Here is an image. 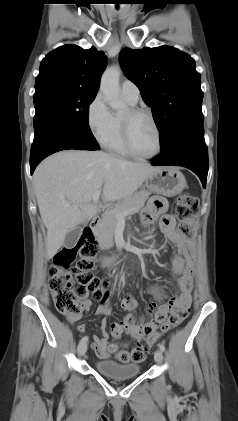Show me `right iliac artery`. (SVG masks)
Instances as JSON below:
<instances>
[{
	"instance_id": "right-iliac-artery-1",
	"label": "right iliac artery",
	"mask_w": 238,
	"mask_h": 421,
	"mask_svg": "<svg viewBox=\"0 0 238 421\" xmlns=\"http://www.w3.org/2000/svg\"><path fill=\"white\" fill-rule=\"evenodd\" d=\"M88 340V337L87 336H84L82 339H81V341H87Z\"/></svg>"
}]
</instances>
